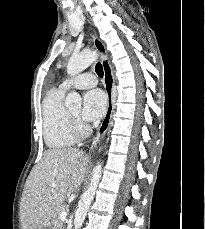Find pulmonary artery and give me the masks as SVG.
I'll return each mask as SVG.
<instances>
[{
	"label": "pulmonary artery",
	"instance_id": "1",
	"mask_svg": "<svg viewBox=\"0 0 205 229\" xmlns=\"http://www.w3.org/2000/svg\"><path fill=\"white\" fill-rule=\"evenodd\" d=\"M97 79L92 73H82L73 78H67L60 85V88L67 91L71 88L86 89L94 87Z\"/></svg>",
	"mask_w": 205,
	"mask_h": 229
}]
</instances>
